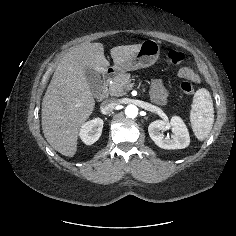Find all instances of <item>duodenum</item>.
<instances>
[{"label":"duodenum","mask_w":236,"mask_h":236,"mask_svg":"<svg viewBox=\"0 0 236 236\" xmlns=\"http://www.w3.org/2000/svg\"><path fill=\"white\" fill-rule=\"evenodd\" d=\"M114 75H115V70L111 69V68L107 69L103 73V75H102V85H101V88L99 89V91L96 93V99L102 100L105 97L109 81L111 80V78Z\"/></svg>","instance_id":"obj_1"}]
</instances>
